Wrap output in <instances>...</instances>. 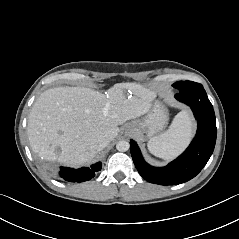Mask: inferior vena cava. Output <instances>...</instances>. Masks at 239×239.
I'll return each mask as SVG.
<instances>
[{
    "instance_id": "inferior-vena-cava-1",
    "label": "inferior vena cava",
    "mask_w": 239,
    "mask_h": 239,
    "mask_svg": "<svg viewBox=\"0 0 239 239\" xmlns=\"http://www.w3.org/2000/svg\"><path fill=\"white\" fill-rule=\"evenodd\" d=\"M110 143V141L106 138L104 139H101L100 142H99V150H102L103 148H105L108 144Z\"/></svg>"
}]
</instances>
